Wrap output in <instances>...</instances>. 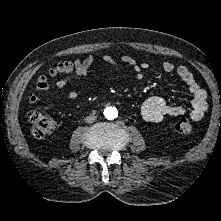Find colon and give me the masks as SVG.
Segmentation results:
<instances>
[{
	"mask_svg": "<svg viewBox=\"0 0 221 221\" xmlns=\"http://www.w3.org/2000/svg\"><path fill=\"white\" fill-rule=\"evenodd\" d=\"M45 79L47 80V76H45ZM28 119L35 137L41 138L49 136L56 130V122L43 112L33 111L29 114ZM175 130L180 134L188 135L192 132L193 125L188 118H182L176 121Z\"/></svg>",
	"mask_w": 221,
	"mask_h": 221,
	"instance_id": "1",
	"label": "colon"
}]
</instances>
